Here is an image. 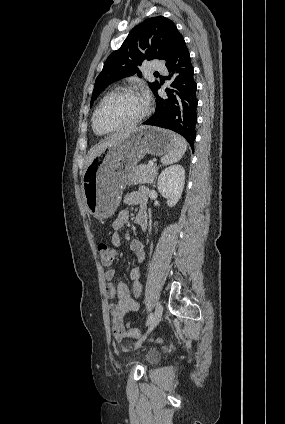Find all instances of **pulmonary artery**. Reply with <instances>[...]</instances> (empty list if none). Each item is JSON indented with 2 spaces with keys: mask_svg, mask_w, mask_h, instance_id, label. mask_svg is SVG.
Wrapping results in <instances>:
<instances>
[{
  "mask_svg": "<svg viewBox=\"0 0 285 424\" xmlns=\"http://www.w3.org/2000/svg\"><path fill=\"white\" fill-rule=\"evenodd\" d=\"M150 68L154 71H158V72H166L167 68L164 64H162L159 61H152L150 64Z\"/></svg>",
  "mask_w": 285,
  "mask_h": 424,
  "instance_id": "1",
  "label": "pulmonary artery"
}]
</instances>
